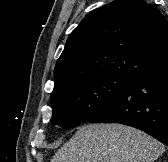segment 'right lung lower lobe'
<instances>
[{"mask_svg":"<svg viewBox=\"0 0 168 162\" xmlns=\"http://www.w3.org/2000/svg\"><path fill=\"white\" fill-rule=\"evenodd\" d=\"M91 123H121L168 146V63L129 81Z\"/></svg>","mask_w":168,"mask_h":162,"instance_id":"right-lung-lower-lobe-1","label":"right lung lower lobe"}]
</instances>
